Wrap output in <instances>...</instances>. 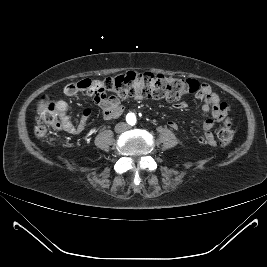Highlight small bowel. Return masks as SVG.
Wrapping results in <instances>:
<instances>
[{"label": "small bowel", "mask_w": 267, "mask_h": 267, "mask_svg": "<svg viewBox=\"0 0 267 267\" xmlns=\"http://www.w3.org/2000/svg\"><path fill=\"white\" fill-rule=\"evenodd\" d=\"M68 83L64 87V94L66 96H75L79 92H87L85 89L79 86L82 82ZM197 98L202 102V110L204 113H211V118H205L203 120L202 128L203 135L198 138V142L202 145L215 146L216 140L212 133L214 125L221 122L228 114L229 107L226 103L222 102L219 96L214 93L208 84H203L202 90L197 93ZM102 110V116L105 120H113L118 118L123 112V106L118 98H109L105 101L97 102ZM186 107L185 102H179L176 104V108L184 109ZM55 109L60 118V129L67 133L78 135L81 134L90 117V110L85 109L80 121L75 124L68 116V104L64 100H58L55 103ZM170 127L174 130H178L179 126L176 122L171 121Z\"/></svg>", "instance_id": "c3829d8e"}]
</instances>
